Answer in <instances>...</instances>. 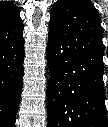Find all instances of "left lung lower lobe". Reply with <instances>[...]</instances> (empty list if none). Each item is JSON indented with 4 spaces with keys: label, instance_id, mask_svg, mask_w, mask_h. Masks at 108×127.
I'll use <instances>...</instances> for the list:
<instances>
[{
    "label": "left lung lower lobe",
    "instance_id": "left-lung-lower-lobe-1",
    "mask_svg": "<svg viewBox=\"0 0 108 127\" xmlns=\"http://www.w3.org/2000/svg\"><path fill=\"white\" fill-rule=\"evenodd\" d=\"M48 127H108L102 27L90 0H58L49 23ZM76 68L74 84L66 70Z\"/></svg>",
    "mask_w": 108,
    "mask_h": 127
}]
</instances>
